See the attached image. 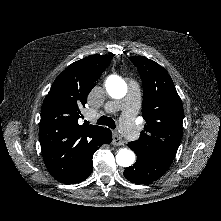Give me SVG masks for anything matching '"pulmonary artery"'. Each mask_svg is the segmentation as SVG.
<instances>
[{
  "label": "pulmonary artery",
  "mask_w": 221,
  "mask_h": 221,
  "mask_svg": "<svg viewBox=\"0 0 221 221\" xmlns=\"http://www.w3.org/2000/svg\"><path fill=\"white\" fill-rule=\"evenodd\" d=\"M139 98L135 95L133 89L124 101H114L106 105V110L115 112L123 110L120 122V131L130 140H135L137 137V127L135 124V116L138 110Z\"/></svg>",
  "instance_id": "obj_1"
}]
</instances>
